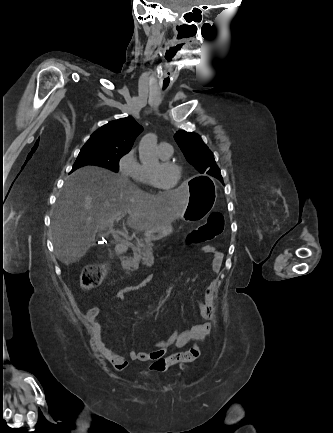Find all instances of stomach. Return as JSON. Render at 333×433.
Returning a JSON list of instances; mask_svg holds the SVG:
<instances>
[{"mask_svg": "<svg viewBox=\"0 0 333 433\" xmlns=\"http://www.w3.org/2000/svg\"><path fill=\"white\" fill-rule=\"evenodd\" d=\"M192 181L189 204L181 216L189 225H195L198 219H203L212 211L216 203L215 195H217V187L210 177L198 175L194 176ZM170 232V225H166L161 231L149 234V236L161 239Z\"/></svg>", "mask_w": 333, "mask_h": 433, "instance_id": "1", "label": "stomach"}]
</instances>
